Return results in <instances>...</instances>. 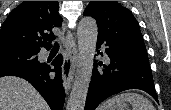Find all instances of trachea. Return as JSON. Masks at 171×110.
<instances>
[{
	"mask_svg": "<svg viewBox=\"0 0 171 110\" xmlns=\"http://www.w3.org/2000/svg\"><path fill=\"white\" fill-rule=\"evenodd\" d=\"M59 48V44L58 43H55L54 44V49H58Z\"/></svg>",
	"mask_w": 171,
	"mask_h": 110,
	"instance_id": "1",
	"label": "trachea"
}]
</instances>
